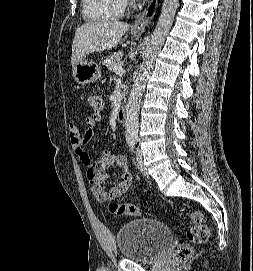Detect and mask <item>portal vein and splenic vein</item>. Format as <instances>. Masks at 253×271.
<instances>
[{
    "label": "portal vein and splenic vein",
    "instance_id": "obj_1",
    "mask_svg": "<svg viewBox=\"0 0 253 271\" xmlns=\"http://www.w3.org/2000/svg\"><path fill=\"white\" fill-rule=\"evenodd\" d=\"M114 71H115V73L117 74V75H123V73H125V70H124V68L123 67H115L114 68Z\"/></svg>",
    "mask_w": 253,
    "mask_h": 271
}]
</instances>
